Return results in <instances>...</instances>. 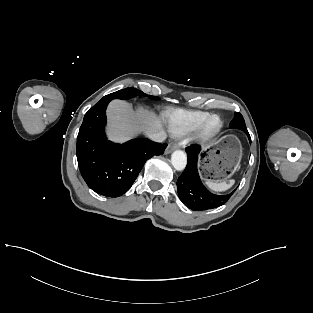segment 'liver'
<instances>
[{
  "instance_id": "1",
  "label": "liver",
  "mask_w": 313,
  "mask_h": 313,
  "mask_svg": "<svg viewBox=\"0 0 313 313\" xmlns=\"http://www.w3.org/2000/svg\"><path fill=\"white\" fill-rule=\"evenodd\" d=\"M108 135L112 141L125 142L140 131L162 130V122L154 113L139 108L135 113L125 101H112L107 110Z\"/></svg>"
}]
</instances>
